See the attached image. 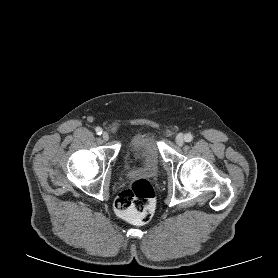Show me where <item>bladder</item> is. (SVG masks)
Instances as JSON below:
<instances>
[{
  "label": "bladder",
  "instance_id": "1",
  "mask_svg": "<svg viewBox=\"0 0 278 278\" xmlns=\"http://www.w3.org/2000/svg\"><path fill=\"white\" fill-rule=\"evenodd\" d=\"M129 161H139L138 171L155 175L159 171L160 153L155 137L150 133H141L133 137L126 149ZM134 172V169L130 170Z\"/></svg>",
  "mask_w": 278,
  "mask_h": 278
}]
</instances>
